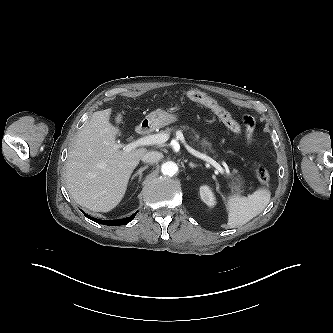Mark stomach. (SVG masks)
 Returning <instances> with one entry per match:
<instances>
[{"mask_svg":"<svg viewBox=\"0 0 333 333\" xmlns=\"http://www.w3.org/2000/svg\"><path fill=\"white\" fill-rule=\"evenodd\" d=\"M178 114H173L165 110L157 109L145 117V121L153 128H161L178 121Z\"/></svg>","mask_w":333,"mask_h":333,"instance_id":"0dacf381","label":"stomach"}]
</instances>
